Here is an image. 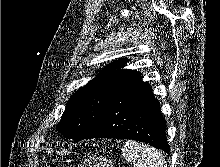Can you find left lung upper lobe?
Masks as SVG:
<instances>
[{
	"mask_svg": "<svg viewBox=\"0 0 220 167\" xmlns=\"http://www.w3.org/2000/svg\"><path fill=\"white\" fill-rule=\"evenodd\" d=\"M127 59H119L69 99L57 124V130L68 139L81 140L97 123L114 98L128 85L140 79V73L121 69Z\"/></svg>",
	"mask_w": 220,
	"mask_h": 167,
	"instance_id": "left-lung-upper-lobe-1",
	"label": "left lung upper lobe"
}]
</instances>
